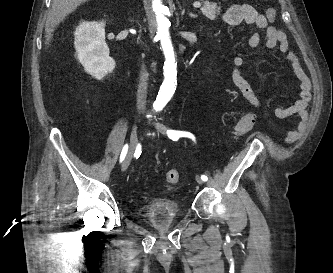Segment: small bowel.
<instances>
[{
	"mask_svg": "<svg viewBox=\"0 0 333 273\" xmlns=\"http://www.w3.org/2000/svg\"><path fill=\"white\" fill-rule=\"evenodd\" d=\"M223 22L228 27H237L242 23H247L255 26L258 29L266 30V40L262 44L261 36L258 33L250 35L247 39V45L252 48L264 47L271 50L278 47L285 53L288 62L290 63L299 83L303 96L301 99L290 106L280 107L276 110L277 116L287 118L292 115H298L302 120L305 117V106L307 104L306 91L307 79L306 75L300 67L296 54L291 50L285 33L275 26H270L266 22V16L258 12L253 6L249 4H232L230 5L222 16ZM245 66L244 58L237 56L232 58L230 67V77L236 88L240 91L243 97L255 108H262V101L258 98L255 91L247 80L242 76L241 69ZM256 120V117H255ZM301 125L298 131L301 130ZM296 136V131L290 133L289 139Z\"/></svg>",
	"mask_w": 333,
	"mask_h": 273,
	"instance_id": "small-bowel-1",
	"label": "small bowel"
}]
</instances>
